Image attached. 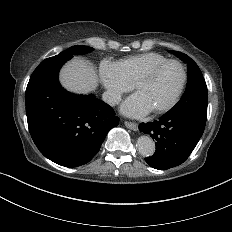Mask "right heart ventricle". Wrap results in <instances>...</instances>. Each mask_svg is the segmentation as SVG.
<instances>
[{
	"mask_svg": "<svg viewBox=\"0 0 232 232\" xmlns=\"http://www.w3.org/2000/svg\"><path fill=\"white\" fill-rule=\"evenodd\" d=\"M166 59L168 57L160 52L143 51L122 58L117 63L123 80L130 86L141 74Z\"/></svg>",
	"mask_w": 232,
	"mask_h": 232,
	"instance_id": "e07e8e85",
	"label": "right heart ventricle"
}]
</instances>
